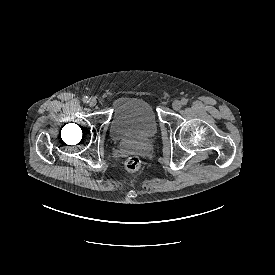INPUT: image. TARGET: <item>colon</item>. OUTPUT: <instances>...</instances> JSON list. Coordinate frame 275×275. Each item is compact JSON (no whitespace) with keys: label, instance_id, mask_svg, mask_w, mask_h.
I'll list each match as a JSON object with an SVG mask.
<instances>
[{"label":"colon","instance_id":"obj_1","mask_svg":"<svg viewBox=\"0 0 275 275\" xmlns=\"http://www.w3.org/2000/svg\"><path fill=\"white\" fill-rule=\"evenodd\" d=\"M140 164H141V162H140L139 157L133 155V156H130L127 158V160L125 162V168L128 172L134 173L139 169Z\"/></svg>","mask_w":275,"mask_h":275}]
</instances>
